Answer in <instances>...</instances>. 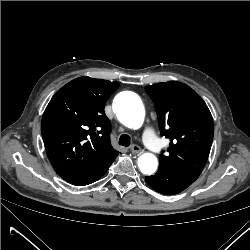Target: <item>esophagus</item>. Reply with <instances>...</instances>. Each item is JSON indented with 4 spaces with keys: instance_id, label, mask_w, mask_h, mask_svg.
<instances>
[{
    "instance_id": "34e87169",
    "label": "esophagus",
    "mask_w": 250,
    "mask_h": 250,
    "mask_svg": "<svg viewBox=\"0 0 250 250\" xmlns=\"http://www.w3.org/2000/svg\"><path fill=\"white\" fill-rule=\"evenodd\" d=\"M130 150L133 154H140L141 153V148L138 145H132L130 147Z\"/></svg>"
}]
</instances>
